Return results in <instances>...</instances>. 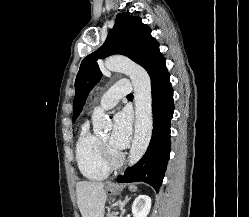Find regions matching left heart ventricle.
Returning <instances> with one entry per match:
<instances>
[{"label": "left heart ventricle", "mask_w": 249, "mask_h": 217, "mask_svg": "<svg viewBox=\"0 0 249 217\" xmlns=\"http://www.w3.org/2000/svg\"><path fill=\"white\" fill-rule=\"evenodd\" d=\"M102 140H103L104 142H106V141L108 140V137H107V136H106V137H103Z\"/></svg>", "instance_id": "b2bd125f"}]
</instances>
